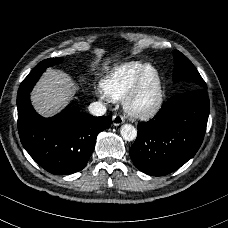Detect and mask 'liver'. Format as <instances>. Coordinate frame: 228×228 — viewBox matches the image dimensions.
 <instances>
[{
    "instance_id": "obj_1",
    "label": "liver",
    "mask_w": 228,
    "mask_h": 228,
    "mask_svg": "<svg viewBox=\"0 0 228 228\" xmlns=\"http://www.w3.org/2000/svg\"><path fill=\"white\" fill-rule=\"evenodd\" d=\"M104 70H109L105 64ZM77 87L71 77L61 70L48 68L31 93V101L37 112L51 116L68 104Z\"/></svg>"
}]
</instances>
